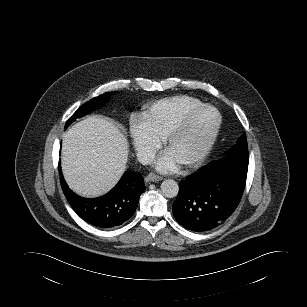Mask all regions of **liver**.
Listing matches in <instances>:
<instances>
[{
	"label": "liver",
	"instance_id": "1",
	"mask_svg": "<svg viewBox=\"0 0 307 307\" xmlns=\"http://www.w3.org/2000/svg\"><path fill=\"white\" fill-rule=\"evenodd\" d=\"M127 160V138L107 118L87 117L63 135V175L69 188L81 196L108 192L124 173Z\"/></svg>",
	"mask_w": 307,
	"mask_h": 307
}]
</instances>
